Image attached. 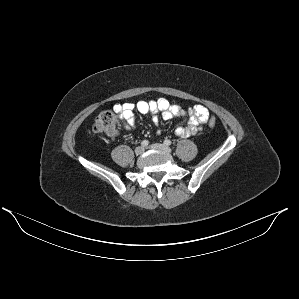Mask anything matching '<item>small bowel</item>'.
<instances>
[{"label": "small bowel", "instance_id": "small-bowel-1", "mask_svg": "<svg viewBox=\"0 0 299 299\" xmlns=\"http://www.w3.org/2000/svg\"><path fill=\"white\" fill-rule=\"evenodd\" d=\"M113 109L125 128L134 124L135 111L141 114H150L155 124H158L160 118L169 120L176 116H187L188 121L186 125L177 127L175 130V134L182 138L195 135L209 119V111L202 105H195L184 109L179 105L171 104L165 98L139 100L135 103H117L114 105ZM110 135L117 136L118 132L115 130L113 133H110Z\"/></svg>", "mask_w": 299, "mask_h": 299}]
</instances>
